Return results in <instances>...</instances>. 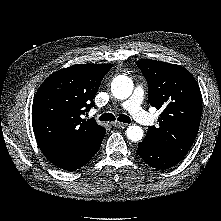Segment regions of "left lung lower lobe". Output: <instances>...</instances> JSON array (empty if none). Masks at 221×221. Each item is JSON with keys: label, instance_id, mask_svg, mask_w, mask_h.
Wrapping results in <instances>:
<instances>
[{"label": "left lung lower lobe", "instance_id": "obj_1", "mask_svg": "<svg viewBox=\"0 0 221 221\" xmlns=\"http://www.w3.org/2000/svg\"><path fill=\"white\" fill-rule=\"evenodd\" d=\"M137 153L151 167L168 169L178 164L184 156L157 148L144 140L138 143Z\"/></svg>", "mask_w": 221, "mask_h": 221}]
</instances>
